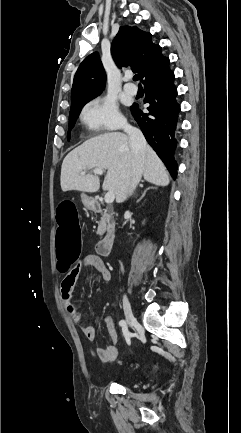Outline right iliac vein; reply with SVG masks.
<instances>
[{"label":"right iliac vein","mask_w":241,"mask_h":433,"mask_svg":"<svg viewBox=\"0 0 241 433\" xmlns=\"http://www.w3.org/2000/svg\"><path fill=\"white\" fill-rule=\"evenodd\" d=\"M123 306L127 323L129 324V326H132L136 322V319L133 315L131 304L126 294L123 297Z\"/></svg>","instance_id":"right-iliac-vein-1"}]
</instances>
